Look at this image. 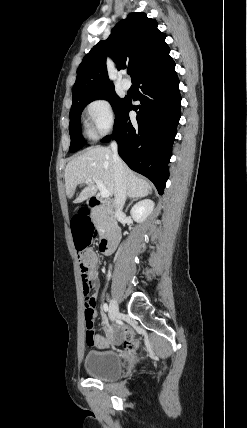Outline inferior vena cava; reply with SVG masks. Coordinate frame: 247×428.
Listing matches in <instances>:
<instances>
[{
    "mask_svg": "<svg viewBox=\"0 0 247 428\" xmlns=\"http://www.w3.org/2000/svg\"><path fill=\"white\" fill-rule=\"evenodd\" d=\"M114 160V179H115V216L122 214V209L126 200L125 171L122 160L118 155V146L116 142L111 143Z\"/></svg>",
    "mask_w": 247,
    "mask_h": 428,
    "instance_id": "1",
    "label": "inferior vena cava"
}]
</instances>
